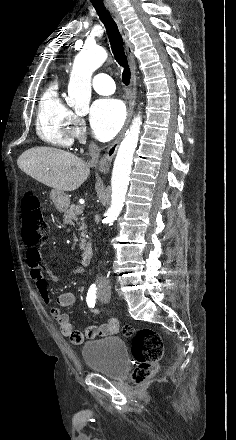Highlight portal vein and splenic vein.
<instances>
[{
	"label": "portal vein and splenic vein",
	"mask_w": 236,
	"mask_h": 440,
	"mask_svg": "<svg viewBox=\"0 0 236 440\" xmlns=\"http://www.w3.org/2000/svg\"><path fill=\"white\" fill-rule=\"evenodd\" d=\"M82 211H83V208H82L81 206H79V207L77 208V212H78V213H82Z\"/></svg>",
	"instance_id": "obj_1"
}]
</instances>
